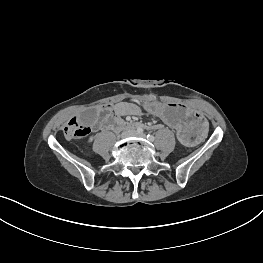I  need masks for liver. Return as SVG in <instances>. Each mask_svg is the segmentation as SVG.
<instances>
[{
  "label": "liver",
  "instance_id": "1",
  "mask_svg": "<svg viewBox=\"0 0 263 263\" xmlns=\"http://www.w3.org/2000/svg\"><path fill=\"white\" fill-rule=\"evenodd\" d=\"M65 137H66L67 140H70V139H71L70 134L66 135Z\"/></svg>",
  "mask_w": 263,
  "mask_h": 263
}]
</instances>
